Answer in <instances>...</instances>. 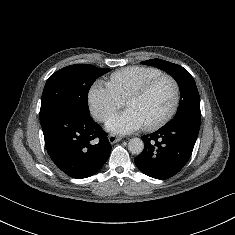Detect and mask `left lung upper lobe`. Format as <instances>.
<instances>
[{"mask_svg": "<svg viewBox=\"0 0 235 235\" xmlns=\"http://www.w3.org/2000/svg\"><path fill=\"white\" fill-rule=\"evenodd\" d=\"M142 64L153 65L170 74L180 88V103L174 118L167 124L186 118L201 120L200 97L191 74L182 66L161 59L143 61Z\"/></svg>", "mask_w": 235, "mask_h": 235, "instance_id": "5c2ea615", "label": "left lung upper lobe"}]
</instances>
